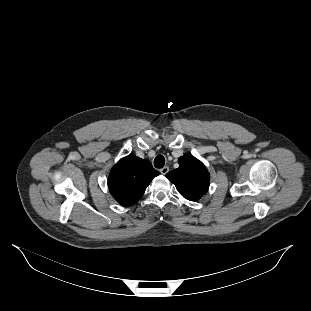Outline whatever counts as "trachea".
<instances>
[{
  "label": "trachea",
  "mask_w": 311,
  "mask_h": 311,
  "mask_svg": "<svg viewBox=\"0 0 311 311\" xmlns=\"http://www.w3.org/2000/svg\"><path fill=\"white\" fill-rule=\"evenodd\" d=\"M165 165V158L162 155H157L154 159V166L156 168H162Z\"/></svg>",
  "instance_id": "3493384b"
}]
</instances>
